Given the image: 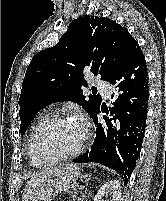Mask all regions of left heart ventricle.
<instances>
[{
	"label": "left heart ventricle",
	"instance_id": "obj_1",
	"mask_svg": "<svg viewBox=\"0 0 166 201\" xmlns=\"http://www.w3.org/2000/svg\"><path fill=\"white\" fill-rule=\"evenodd\" d=\"M83 134L77 124L66 120L53 124L44 130L39 138L40 159L63 155L74 151L82 142Z\"/></svg>",
	"mask_w": 166,
	"mask_h": 201
}]
</instances>
